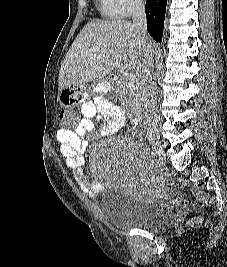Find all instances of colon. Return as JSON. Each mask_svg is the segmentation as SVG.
Wrapping results in <instances>:
<instances>
[{"label":"colon","instance_id":"1","mask_svg":"<svg viewBox=\"0 0 227 267\" xmlns=\"http://www.w3.org/2000/svg\"><path fill=\"white\" fill-rule=\"evenodd\" d=\"M77 110H60L59 119L61 125L59 126L60 130H71L72 129V119L76 118ZM199 220L196 221V223Z\"/></svg>","mask_w":227,"mask_h":267}]
</instances>
